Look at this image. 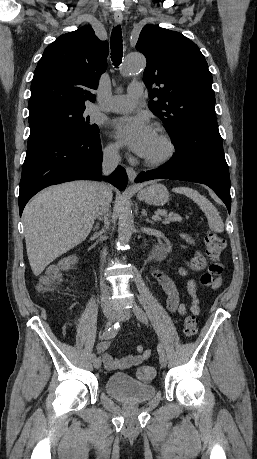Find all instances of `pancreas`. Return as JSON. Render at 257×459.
<instances>
[{
    "label": "pancreas",
    "mask_w": 257,
    "mask_h": 459,
    "mask_svg": "<svg viewBox=\"0 0 257 459\" xmlns=\"http://www.w3.org/2000/svg\"><path fill=\"white\" fill-rule=\"evenodd\" d=\"M156 213L164 217L163 223L165 224L182 220V218L178 214L173 212L167 214L165 210H158Z\"/></svg>",
    "instance_id": "cf45deb5"
}]
</instances>
